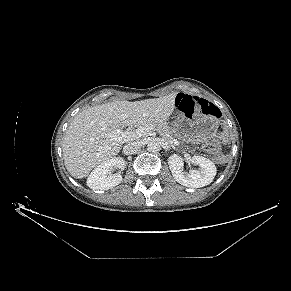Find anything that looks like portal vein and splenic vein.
I'll list each match as a JSON object with an SVG mask.
<instances>
[{
  "instance_id": "18ae733b",
  "label": "portal vein and splenic vein",
  "mask_w": 291,
  "mask_h": 291,
  "mask_svg": "<svg viewBox=\"0 0 291 291\" xmlns=\"http://www.w3.org/2000/svg\"><path fill=\"white\" fill-rule=\"evenodd\" d=\"M154 130L152 126L146 125L141 126L135 131H120L119 129L113 131L109 137L112 140L118 141V142H128L130 140H136L139 139L145 135H147L150 131ZM171 144H178V141L171 138L169 140Z\"/></svg>"
}]
</instances>
